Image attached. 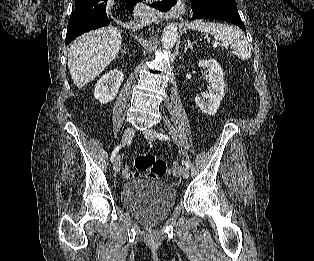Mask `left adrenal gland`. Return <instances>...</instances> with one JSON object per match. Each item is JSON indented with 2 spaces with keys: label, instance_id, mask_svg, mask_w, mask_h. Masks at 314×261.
Here are the masks:
<instances>
[{
  "label": "left adrenal gland",
  "instance_id": "1",
  "mask_svg": "<svg viewBox=\"0 0 314 261\" xmlns=\"http://www.w3.org/2000/svg\"><path fill=\"white\" fill-rule=\"evenodd\" d=\"M188 47L192 48V46L188 43H185V47H184V53L187 52Z\"/></svg>",
  "mask_w": 314,
  "mask_h": 261
}]
</instances>
